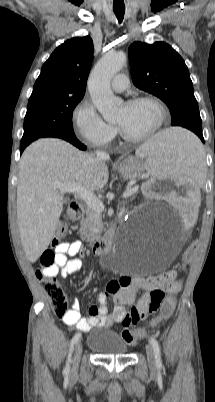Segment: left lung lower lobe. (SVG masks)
Returning a JSON list of instances; mask_svg holds the SVG:
<instances>
[{"instance_id":"0a47b994","label":"left lung lower lobe","mask_w":215,"mask_h":402,"mask_svg":"<svg viewBox=\"0 0 215 402\" xmlns=\"http://www.w3.org/2000/svg\"><path fill=\"white\" fill-rule=\"evenodd\" d=\"M198 137L202 140V142H204L203 135H199Z\"/></svg>"}]
</instances>
